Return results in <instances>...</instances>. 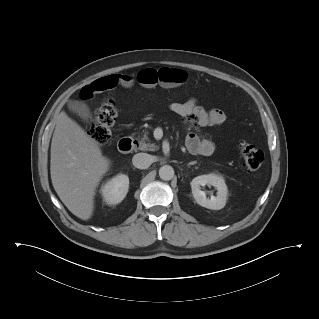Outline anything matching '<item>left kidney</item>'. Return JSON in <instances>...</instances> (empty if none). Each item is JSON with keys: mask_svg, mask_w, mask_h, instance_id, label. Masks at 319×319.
Masks as SVG:
<instances>
[{"mask_svg": "<svg viewBox=\"0 0 319 319\" xmlns=\"http://www.w3.org/2000/svg\"><path fill=\"white\" fill-rule=\"evenodd\" d=\"M192 194L196 202L208 209L220 210L222 209L227 200V186L223 177L216 174H207L195 177L191 181ZM212 185L217 190V196L206 197V193L201 190V186Z\"/></svg>", "mask_w": 319, "mask_h": 319, "instance_id": "5707ae66", "label": "left kidney"}]
</instances>
